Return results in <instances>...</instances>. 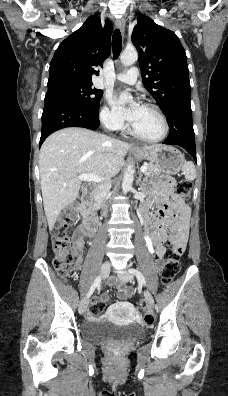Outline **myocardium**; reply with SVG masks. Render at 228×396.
I'll list each match as a JSON object with an SVG mask.
<instances>
[{"mask_svg": "<svg viewBox=\"0 0 228 396\" xmlns=\"http://www.w3.org/2000/svg\"><path fill=\"white\" fill-rule=\"evenodd\" d=\"M142 107L147 108V109L153 111V112L159 117V119L161 120V123H162V127H163L162 133H161L160 136H158V137H156V138H146V137L140 135V134L135 130V128L133 127V125H131L130 128H129L130 133H131L135 138H137L138 140L143 141V142H146V143H158V142H161V141L165 140L166 137L168 136V133H169V124H168V121H167L165 115L162 113V111H161L157 106H155V105H153V104L144 103V104L142 105Z\"/></svg>", "mask_w": 228, "mask_h": 396, "instance_id": "f54148a6", "label": "myocardium"}]
</instances>
